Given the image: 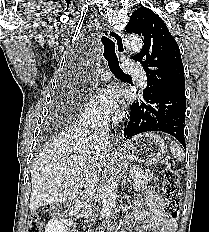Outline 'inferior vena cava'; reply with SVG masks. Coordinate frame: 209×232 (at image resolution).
I'll use <instances>...</instances> for the list:
<instances>
[{"mask_svg": "<svg viewBox=\"0 0 209 232\" xmlns=\"http://www.w3.org/2000/svg\"><path fill=\"white\" fill-rule=\"evenodd\" d=\"M106 137H107V130L106 128L103 127L100 128L99 131H97L93 135V138L96 140V142H94L93 153L100 152L102 148V142L106 141ZM100 172H101V165L98 162H95L91 165L85 178L84 192L80 203L83 205V207H85L86 215L90 210L89 204L96 193Z\"/></svg>", "mask_w": 209, "mask_h": 232, "instance_id": "obj_1", "label": "inferior vena cava"}]
</instances>
